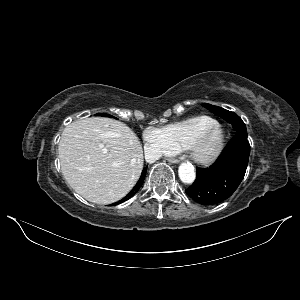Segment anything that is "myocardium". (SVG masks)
Segmentation results:
<instances>
[{"label": "myocardium", "instance_id": "myocardium-1", "mask_svg": "<svg viewBox=\"0 0 300 300\" xmlns=\"http://www.w3.org/2000/svg\"><path fill=\"white\" fill-rule=\"evenodd\" d=\"M224 143V129L217 124L196 136L189 144L187 150L193 162L207 165L220 156ZM207 145L208 147H206Z\"/></svg>", "mask_w": 300, "mask_h": 300}]
</instances>
